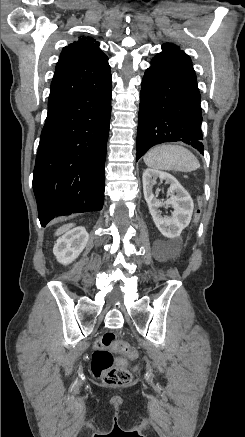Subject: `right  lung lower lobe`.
I'll use <instances>...</instances> for the list:
<instances>
[{"mask_svg": "<svg viewBox=\"0 0 245 437\" xmlns=\"http://www.w3.org/2000/svg\"><path fill=\"white\" fill-rule=\"evenodd\" d=\"M111 96L110 77L94 90L48 103L33 177L42 226L103 208Z\"/></svg>", "mask_w": 245, "mask_h": 437, "instance_id": "right-lung-lower-lobe-1", "label": "right lung lower lobe"}]
</instances>
